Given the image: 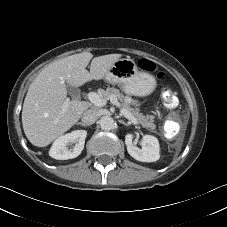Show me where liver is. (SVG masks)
<instances>
[{
  "label": "liver",
  "instance_id": "1",
  "mask_svg": "<svg viewBox=\"0 0 227 227\" xmlns=\"http://www.w3.org/2000/svg\"><path fill=\"white\" fill-rule=\"evenodd\" d=\"M92 58L91 53L82 52L54 61L31 83L23 103L22 125L34 146L49 145L76 124L91 106L86 101H70L66 86L76 88L91 80L103 79L121 54ZM90 61L88 71L86 67ZM65 102L68 107L63 111Z\"/></svg>",
  "mask_w": 227,
  "mask_h": 227
}]
</instances>
